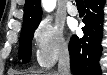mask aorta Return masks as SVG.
Segmentation results:
<instances>
[{
  "mask_svg": "<svg viewBox=\"0 0 107 75\" xmlns=\"http://www.w3.org/2000/svg\"><path fill=\"white\" fill-rule=\"evenodd\" d=\"M42 5L46 11H52L56 5L55 0H43Z\"/></svg>",
  "mask_w": 107,
  "mask_h": 75,
  "instance_id": "aorta-1",
  "label": "aorta"
}]
</instances>
